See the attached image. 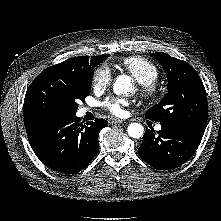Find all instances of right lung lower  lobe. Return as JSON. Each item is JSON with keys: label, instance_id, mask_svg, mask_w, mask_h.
<instances>
[{"label": "right lung lower lobe", "instance_id": "98d812e1", "mask_svg": "<svg viewBox=\"0 0 221 221\" xmlns=\"http://www.w3.org/2000/svg\"><path fill=\"white\" fill-rule=\"evenodd\" d=\"M28 139L36 156L49 168L73 174L85 168L96 155L98 134L104 119L87 125L76 114L63 116L24 115Z\"/></svg>", "mask_w": 221, "mask_h": 221}]
</instances>
